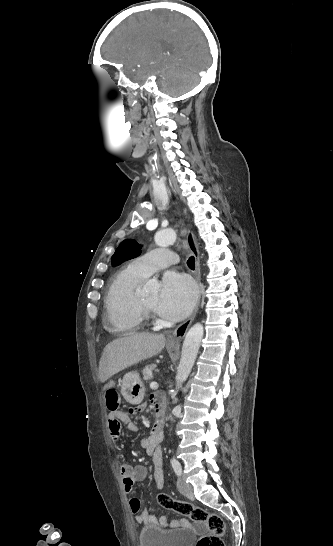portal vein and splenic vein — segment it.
I'll list each match as a JSON object with an SVG mask.
<instances>
[{
	"instance_id": "portal-vein-and-splenic-vein-1",
	"label": "portal vein and splenic vein",
	"mask_w": 333,
	"mask_h": 546,
	"mask_svg": "<svg viewBox=\"0 0 333 546\" xmlns=\"http://www.w3.org/2000/svg\"><path fill=\"white\" fill-rule=\"evenodd\" d=\"M150 388H151V389H157V388H158L157 382H155V381L151 382V383H150Z\"/></svg>"
}]
</instances>
